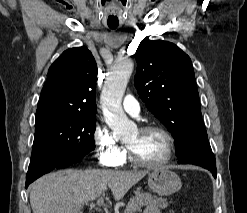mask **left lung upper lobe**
I'll list each match as a JSON object with an SVG mask.
<instances>
[{
	"mask_svg": "<svg viewBox=\"0 0 247 213\" xmlns=\"http://www.w3.org/2000/svg\"><path fill=\"white\" fill-rule=\"evenodd\" d=\"M136 60L137 92L171 132L180 157L195 139L207 137L191 59L171 42L145 40Z\"/></svg>",
	"mask_w": 247,
	"mask_h": 213,
	"instance_id": "5c2ea615",
	"label": "left lung upper lobe"
}]
</instances>
